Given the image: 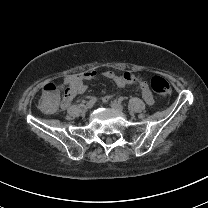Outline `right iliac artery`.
<instances>
[{"label": "right iliac artery", "mask_w": 208, "mask_h": 208, "mask_svg": "<svg viewBox=\"0 0 208 208\" xmlns=\"http://www.w3.org/2000/svg\"><path fill=\"white\" fill-rule=\"evenodd\" d=\"M97 98L96 97H91L90 101H93L94 103L96 102Z\"/></svg>", "instance_id": "1"}]
</instances>
